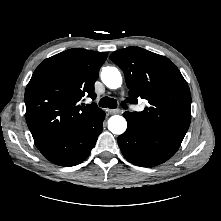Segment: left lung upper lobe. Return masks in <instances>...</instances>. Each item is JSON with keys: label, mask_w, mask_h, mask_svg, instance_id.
<instances>
[{"label": "left lung upper lobe", "mask_w": 221, "mask_h": 221, "mask_svg": "<svg viewBox=\"0 0 221 221\" xmlns=\"http://www.w3.org/2000/svg\"><path fill=\"white\" fill-rule=\"evenodd\" d=\"M110 58L125 74L128 101L149 103L142 112L124 115L151 139L179 148L191 121V95L178 68L167 57L139 47L115 51Z\"/></svg>", "instance_id": "left-lung-upper-lobe-1"}]
</instances>
